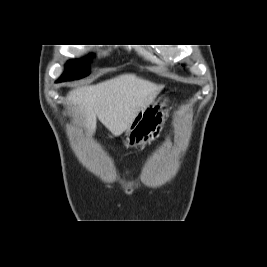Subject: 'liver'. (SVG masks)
Instances as JSON below:
<instances>
[{
  "mask_svg": "<svg viewBox=\"0 0 267 267\" xmlns=\"http://www.w3.org/2000/svg\"><path fill=\"white\" fill-rule=\"evenodd\" d=\"M163 87L135 74H123L97 85L74 89L68 101L84 116V126L89 133L95 132L98 118L113 135L119 136L137 114L156 99Z\"/></svg>",
  "mask_w": 267,
  "mask_h": 267,
  "instance_id": "obj_1",
  "label": "liver"
}]
</instances>
